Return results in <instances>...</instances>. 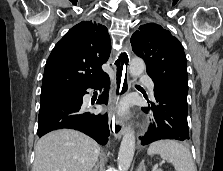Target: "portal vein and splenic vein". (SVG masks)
Wrapping results in <instances>:
<instances>
[{"label":"portal vein and splenic vein","mask_w":223,"mask_h":171,"mask_svg":"<svg viewBox=\"0 0 223 171\" xmlns=\"http://www.w3.org/2000/svg\"><path fill=\"white\" fill-rule=\"evenodd\" d=\"M157 168H158V164H156L153 168V171H157Z\"/></svg>","instance_id":"1"}]
</instances>
